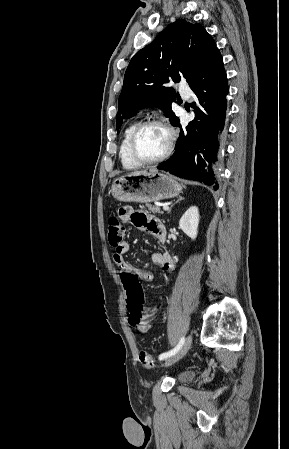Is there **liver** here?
Listing matches in <instances>:
<instances>
[{
	"label": "liver",
	"instance_id": "1",
	"mask_svg": "<svg viewBox=\"0 0 289 449\" xmlns=\"http://www.w3.org/2000/svg\"><path fill=\"white\" fill-rule=\"evenodd\" d=\"M144 172H146V171H136V172H133L131 174H140V173H144Z\"/></svg>",
	"mask_w": 289,
	"mask_h": 449
}]
</instances>
